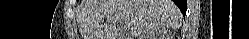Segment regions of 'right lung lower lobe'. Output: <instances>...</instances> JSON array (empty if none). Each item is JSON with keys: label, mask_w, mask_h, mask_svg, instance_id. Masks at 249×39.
I'll list each match as a JSON object with an SVG mask.
<instances>
[{"label": "right lung lower lobe", "mask_w": 249, "mask_h": 39, "mask_svg": "<svg viewBox=\"0 0 249 39\" xmlns=\"http://www.w3.org/2000/svg\"><path fill=\"white\" fill-rule=\"evenodd\" d=\"M174 2L185 16L187 10V0H174Z\"/></svg>", "instance_id": "right-lung-lower-lobe-1"}]
</instances>
